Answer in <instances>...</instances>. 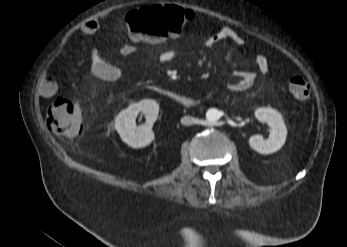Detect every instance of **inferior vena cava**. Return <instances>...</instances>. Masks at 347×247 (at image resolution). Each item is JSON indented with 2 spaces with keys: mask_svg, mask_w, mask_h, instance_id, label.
<instances>
[{
  "mask_svg": "<svg viewBox=\"0 0 347 247\" xmlns=\"http://www.w3.org/2000/svg\"><path fill=\"white\" fill-rule=\"evenodd\" d=\"M196 123V119L191 116H184L181 118V124L183 125H192Z\"/></svg>",
  "mask_w": 347,
  "mask_h": 247,
  "instance_id": "obj_1",
  "label": "inferior vena cava"
}]
</instances>
